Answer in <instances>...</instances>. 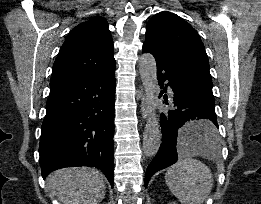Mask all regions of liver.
<instances>
[{"mask_svg": "<svg viewBox=\"0 0 261 204\" xmlns=\"http://www.w3.org/2000/svg\"><path fill=\"white\" fill-rule=\"evenodd\" d=\"M103 178L96 169L65 168L50 174L47 185L62 204H98L106 193Z\"/></svg>", "mask_w": 261, "mask_h": 204, "instance_id": "1", "label": "liver"}]
</instances>
